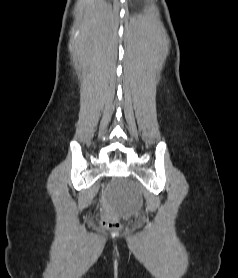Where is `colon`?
Here are the masks:
<instances>
[{"mask_svg":"<svg viewBox=\"0 0 238 278\" xmlns=\"http://www.w3.org/2000/svg\"><path fill=\"white\" fill-rule=\"evenodd\" d=\"M102 190L106 191L107 187L103 186ZM101 203L105 204L106 200L102 199ZM102 224L104 227L110 228V229H116L120 226V223H119L118 219L116 218V216L107 207H105V209H104V218H103Z\"/></svg>","mask_w":238,"mask_h":278,"instance_id":"obj_1","label":"colon"}]
</instances>
